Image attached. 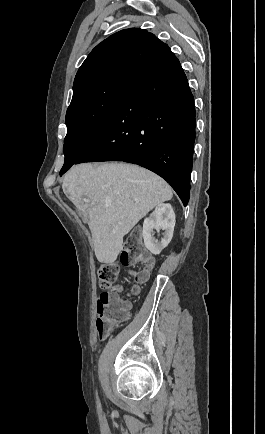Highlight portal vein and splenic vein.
<instances>
[{"instance_id":"obj_1","label":"portal vein and splenic vein","mask_w":265,"mask_h":434,"mask_svg":"<svg viewBox=\"0 0 265 434\" xmlns=\"http://www.w3.org/2000/svg\"><path fill=\"white\" fill-rule=\"evenodd\" d=\"M84 202H90V200H84ZM92 204H95V202H92Z\"/></svg>"}]
</instances>
